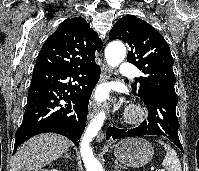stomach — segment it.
<instances>
[{"mask_svg": "<svg viewBox=\"0 0 199 171\" xmlns=\"http://www.w3.org/2000/svg\"><path fill=\"white\" fill-rule=\"evenodd\" d=\"M154 155L152 145L143 138L120 140L114 148V156L127 166L139 168L148 164Z\"/></svg>", "mask_w": 199, "mask_h": 171, "instance_id": "obj_1", "label": "stomach"}]
</instances>
